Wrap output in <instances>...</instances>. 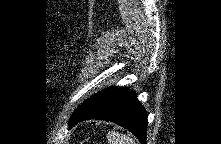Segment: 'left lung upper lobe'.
Listing matches in <instances>:
<instances>
[{
    "mask_svg": "<svg viewBox=\"0 0 221 144\" xmlns=\"http://www.w3.org/2000/svg\"><path fill=\"white\" fill-rule=\"evenodd\" d=\"M110 88H107L101 92H98L94 96L90 97L88 100H86L81 106L78 107V109L75 111V113L70 118V121H73L77 117L84 115L86 112H88L91 108H93L107 93V91Z\"/></svg>",
    "mask_w": 221,
    "mask_h": 144,
    "instance_id": "1",
    "label": "left lung upper lobe"
}]
</instances>
